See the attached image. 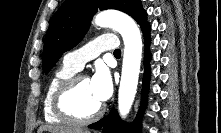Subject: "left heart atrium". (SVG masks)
Returning <instances> with one entry per match:
<instances>
[{
	"instance_id": "39dd6f15",
	"label": "left heart atrium",
	"mask_w": 221,
	"mask_h": 133,
	"mask_svg": "<svg viewBox=\"0 0 221 133\" xmlns=\"http://www.w3.org/2000/svg\"><path fill=\"white\" fill-rule=\"evenodd\" d=\"M90 81L93 92L101 103L110 98L113 92V83L110 72L105 66L97 67Z\"/></svg>"
}]
</instances>
